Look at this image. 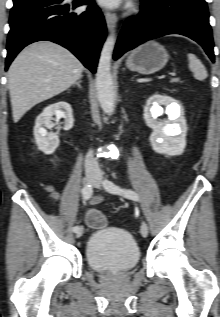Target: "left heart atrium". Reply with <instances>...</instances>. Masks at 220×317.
I'll use <instances>...</instances> for the list:
<instances>
[{
    "mask_svg": "<svg viewBox=\"0 0 220 317\" xmlns=\"http://www.w3.org/2000/svg\"><path fill=\"white\" fill-rule=\"evenodd\" d=\"M100 2L106 6H116L119 4L120 0H100Z\"/></svg>",
    "mask_w": 220,
    "mask_h": 317,
    "instance_id": "left-heart-atrium-1",
    "label": "left heart atrium"
}]
</instances>
